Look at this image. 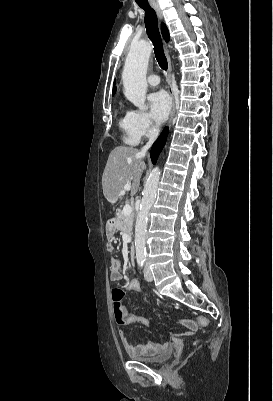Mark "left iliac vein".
I'll return each instance as SVG.
<instances>
[{
    "mask_svg": "<svg viewBox=\"0 0 273 401\" xmlns=\"http://www.w3.org/2000/svg\"><path fill=\"white\" fill-rule=\"evenodd\" d=\"M144 277H145V279L147 281H152L153 280V276H152L151 270L149 269L148 266H145Z\"/></svg>",
    "mask_w": 273,
    "mask_h": 401,
    "instance_id": "left-iliac-vein-1",
    "label": "left iliac vein"
}]
</instances>
